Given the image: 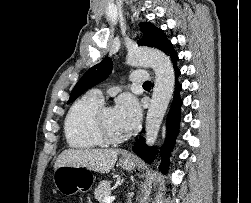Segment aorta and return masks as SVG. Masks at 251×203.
Wrapping results in <instances>:
<instances>
[{"label": "aorta", "mask_w": 251, "mask_h": 203, "mask_svg": "<svg viewBox=\"0 0 251 203\" xmlns=\"http://www.w3.org/2000/svg\"><path fill=\"white\" fill-rule=\"evenodd\" d=\"M130 66H150L155 72V84L146 117V144L154 145L161 122L169 105L175 84V73L170 58L160 50L137 48L128 52Z\"/></svg>", "instance_id": "obj_1"}]
</instances>
